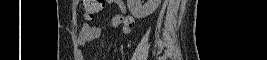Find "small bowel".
Here are the masks:
<instances>
[{"instance_id":"small-bowel-1","label":"small bowel","mask_w":267,"mask_h":60,"mask_svg":"<svg viewBox=\"0 0 267 60\" xmlns=\"http://www.w3.org/2000/svg\"><path fill=\"white\" fill-rule=\"evenodd\" d=\"M107 4H116L117 7L119 8L120 13L115 15L111 22L110 25L112 27H118L121 26L123 29V32L125 34H129L132 30V27L134 25V18L127 14V8L124 3V1L121 0H107L105 1ZM101 35V28L97 25H93L89 22H84L79 35H78V41L80 44H84L86 42L95 40L99 38Z\"/></svg>"}]
</instances>
